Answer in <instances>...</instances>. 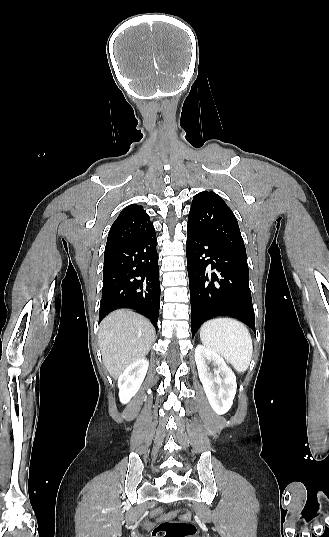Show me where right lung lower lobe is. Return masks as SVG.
<instances>
[{"label": "right lung lower lobe", "mask_w": 329, "mask_h": 537, "mask_svg": "<svg viewBox=\"0 0 329 537\" xmlns=\"http://www.w3.org/2000/svg\"><path fill=\"white\" fill-rule=\"evenodd\" d=\"M155 229L140 238L105 248L101 321L118 308H133L157 327L160 281Z\"/></svg>", "instance_id": "right-lung-lower-lobe-1"}]
</instances>
